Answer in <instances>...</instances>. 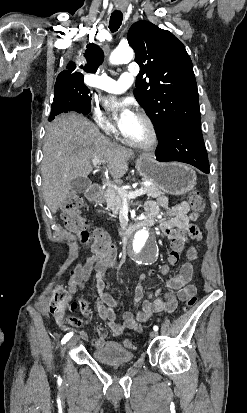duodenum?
I'll return each instance as SVG.
<instances>
[{
  "label": "duodenum",
  "instance_id": "obj_1",
  "mask_svg": "<svg viewBox=\"0 0 247 413\" xmlns=\"http://www.w3.org/2000/svg\"><path fill=\"white\" fill-rule=\"evenodd\" d=\"M103 190L101 186L97 184L91 185L88 190L86 191V198L90 202H99L102 199ZM150 223L147 220H143L141 222H134L130 223L127 227L122 229L119 232V239L121 243L126 244L129 239V236L136 230L141 227H147Z\"/></svg>",
  "mask_w": 247,
  "mask_h": 413
}]
</instances>
